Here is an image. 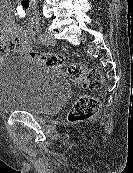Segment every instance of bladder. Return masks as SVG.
Wrapping results in <instances>:
<instances>
[{"label":"bladder","mask_w":133,"mask_h":173,"mask_svg":"<svg viewBox=\"0 0 133 173\" xmlns=\"http://www.w3.org/2000/svg\"><path fill=\"white\" fill-rule=\"evenodd\" d=\"M70 95L67 78L57 70L22 57L0 65V112L54 113Z\"/></svg>","instance_id":"1"}]
</instances>
